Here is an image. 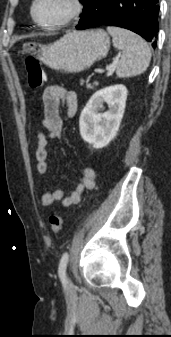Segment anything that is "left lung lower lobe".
<instances>
[{"mask_svg":"<svg viewBox=\"0 0 171 337\" xmlns=\"http://www.w3.org/2000/svg\"><path fill=\"white\" fill-rule=\"evenodd\" d=\"M159 0H90L78 30L110 25L129 29L156 47Z\"/></svg>","mask_w":171,"mask_h":337,"instance_id":"0a47b994","label":"left lung lower lobe"}]
</instances>
